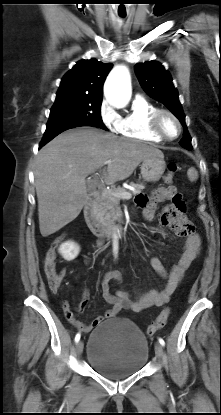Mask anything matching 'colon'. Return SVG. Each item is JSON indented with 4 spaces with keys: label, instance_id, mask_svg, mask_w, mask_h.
Returning a JSON list of instances; mask_svg holds the SVG:
<instances>
[{
    "label": "colon",
    "instance_id": "1",
    "mask_svg": "<svg viewBox=\"0 0 221 415\" xmlns=\"http://www.w3.org/2000/svg\"><path fill=\"white\" fill-rule=\"evenodd\" d=\"M177 170V166L174 163H170L168 165V170L164 176V182L166 184H170L173 181L175 171ZM61 237L55 239V241L52 243L50 248L46 252L45 261H44V272L45 276L47 278V282L49 285V288L56 292L59 290L63 277L64 272H59L56 269V247L58 243L60 242ZM170 315V309L165 308L157 317V319L148 326L147 328V334L153 335L155 332L163 328L168 320V317Z\"/></svg>",
    "mask_w": 221,
    "mask_h": 415
}]
</instances>
